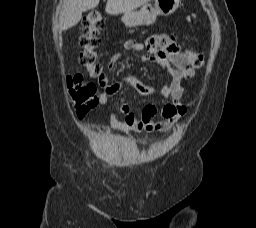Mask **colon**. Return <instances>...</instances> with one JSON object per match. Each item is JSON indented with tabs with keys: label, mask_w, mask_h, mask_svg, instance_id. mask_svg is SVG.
Wrapping results in <instances>:
<instances>
[{
	"label": "colon",
	"mask_w": 256,
	"mask_h": 228,
	"mask_svg": "<svg viewBox=\"0 0 256 228\" xmlns=\"http://www.w3.org/2000/svg\"><path fill=\"white\" fill-rule=\"evenodd\" d=\"M103 24V17L98 11H90L82 21L80 44L84 50L79 55V62L93 77H99L102 74V67L97 62L95 49L100 43L99 33ZM185 54L193 68L199 69L203 66L204 58L201 54L193 51H186ZM67 87L79 117L84 116L97 105L96 86L93 83L84 82L80 74L69 75Z\"/></svg>",
	"instance_id": "5ec220e1"
}]
</instances>
